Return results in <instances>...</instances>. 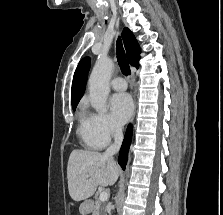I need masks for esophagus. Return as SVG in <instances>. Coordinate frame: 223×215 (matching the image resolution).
<instances>
[{
    "mask_svg": "<svg viewBox=\"0 0 223 215\" xmlns=\"http://www.w3.org/2000/svg\"><path fill=\"white\" fill-rule=\"evenodd\" d=\"M135 113H136V105H135V110H134V113H133V116H132L131 122H133V120H134Z\"/></svg>",
    "mask_w": 223,
    "mask_h": 215,
    "instance_id": "esophagus-1",
    "label": "esophagus"
}]
</instances>
